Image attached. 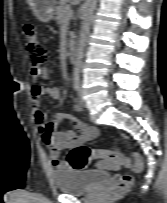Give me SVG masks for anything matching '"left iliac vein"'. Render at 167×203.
Returning <instances> with one entry per match:
<instances>
[{
  "label": "left iliac vein",
  "mask_w": 167,
  "mask_h": 203,
  "mask_svg": "<svg viewBox=\"0 0 167 203\" xmlns=\"http://www.w3.org/2000/svg\"><path fill=\"white\" fill-rule=\"evenodd\" d=\"M79 102L82 106H86V101L83 98V92H82V88L79 87Z\"/></svg>",
  "instance_id": "4c4485c4"
}]
</instances>
